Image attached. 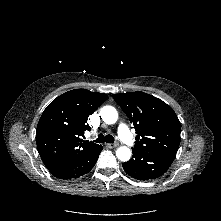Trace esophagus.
<instances>
[{"instance_id":"obj_1","label":"esophagus","mask_w":221,"mask_h":221,"mask_svg":"<svg viewBox=\"0 0 221 221\" xmlns=\"http://www.w3.org/2000/svg\"><path fill=\"white\" fill-rule=\"evenodd\" d=\"M118 144L117 143H114V144H106V147L108 148H114V147H117Z\"/></svg>"}]
</instances>
